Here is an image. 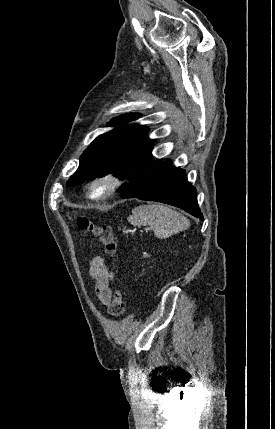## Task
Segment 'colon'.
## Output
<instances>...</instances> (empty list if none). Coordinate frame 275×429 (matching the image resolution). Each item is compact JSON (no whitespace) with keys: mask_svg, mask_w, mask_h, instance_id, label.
<instances>
[{"mask_svg":"<svg viewBox=\"0 0 275 429\" xmlns=\"http://www.w3.org/2000/svg\"><path fill=\"white\" fill-rule=\"evenodd\" d=\"M70 218L75 219L78 228L84 232L92 233L104 246L105 252L113 257L118 248V241L113 232V229L109 225H95L90 219L84 215H75L73 213L68 214ZM126 311V303L122 297V294L117 291L114 294L113 300L108 306V313L112 317H121Z\"/></svg>","mask_w":275,"mask_h":429,"instance_id":"colon-1","label":"colon"}]
</instances>
